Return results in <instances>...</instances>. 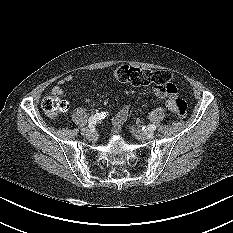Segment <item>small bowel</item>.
<instances>
[{
    "instance_id": "small-bowel-1",
    "label": "small bowel",
    "mask_w": 233,
    "mask_h": 233,
    "mask_svg": "<svg viewBox=\"0 0 233 233\" xmlns=\"http://www.w3.org/2000/svg\"><path fill=\"white\" fill-rule=\"evenodd\" d=\"M73 79V77L71 75L65 76L64 78H62L58 84L56 86L53 87L52 89V94L54 96H58L61 97L64 93L63 90V86L69 82H71ZM154 94L159 97V98H163L166 99L165 100V105L166 107L173 113H176V105H175V100H176V92L174 93H170L166 90H162V89H157L155 88L154 90ZM129 113V107L128 106H124L122 107L119 112L117 113V115L113 118V125L115 127V133H119L120 132V126L124 123V121L126 120L127 116Z\"/></svg>"
}]
</instances>
